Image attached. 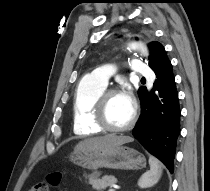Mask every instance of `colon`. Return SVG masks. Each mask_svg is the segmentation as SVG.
<instances>
[{
  "label": "colon",
  "instance_id": "5ec220e1",
  "mask_svg": "<svg viewBox=\"0 0 210 191\" xmlns=\"http://www.w3.org/2000/svg\"><path fill=\"white\" fill-rule=\"evenodd\" d=\"M63 177L64 175L61 172H51L47 174L44 181L33 185L29 191H51L61 184Z\"/></svg>",
  "mask_w": 210,
  "mask_h": 191
}]
</instances>
